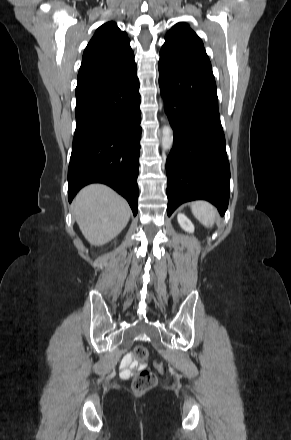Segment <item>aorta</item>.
Instances as JSON below:
<instances>
[{
    "instance_id": "1",
    "label": "aorta",
    "mask_w": 291,
    "mask_h": 440,
    "mask_svg": "<svg viewBox=\"0 0 291 440\" xmlns=\"http://www.w3.org/2000/svg\"><path fill=\"white\" fill-rule=\"evenodd\" d=\"M173 130L169 124L163 127L162 148L165 151H170L173 147Z\"/></svg>"
}]
</instances>
